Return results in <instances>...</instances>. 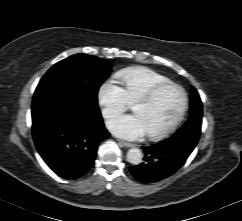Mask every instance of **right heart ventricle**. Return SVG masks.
I'll return each mask as SVG.
<instances>
[{
	"mask_svg": "<svg viewBox=\"0 0 242 221\" xmlns=\"http://www.w3.org/2000/svg\"><path fill=\"white\" fill-rule=\"evenodd\" d=\"M130 103L146 94L155 86L170 82L164 75L145 67L130 68L116 75Z\"/></svg>",
	"mask_w": 242,
	"mask_h": 221,
	"instance_id": "right-heart-ventricle-1",
	"label": "right heart ventricle"
}]
</instances>
